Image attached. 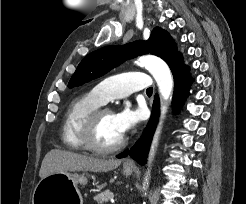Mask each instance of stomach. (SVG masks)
<instances>
[{
  "mask_svg": "<svg viewBox=\"0 0 246 204\" xmlns=\"http://www.w3.org/2000/svg\"><path fill=\"white\" fill-rule=\"evenodd\" d=\"M132 168H123L125 176L132 175ZM85 174L61 172L51 174L39 181L34 189L32 204H82L78 184L86 185Z\"/></svg>",
  "mask_w": 246,
  "mask_h": 204,
  "instance_id": "1",
  "label": "stomach"
}]
</instances>
